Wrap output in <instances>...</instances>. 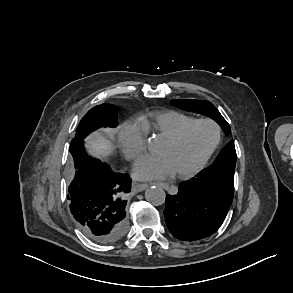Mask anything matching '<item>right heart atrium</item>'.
<instances>
[{
    "label": "right heart atrium",
    "mask_w": 293,
    "mask_h": 293,
    "mask_svg": "<svg viewBox=\"0 0 293 293\" xmlns=\"http://www.w3.org/2000/svg\"><path fill=\"white\" fill-rule=\"evenodd\" d=\"M147 131L138 123H126L118 131L117 142L128 160H135L147 149Z\"/></svg>",
    "instance_id": "obj_1"
}]
</instances>
